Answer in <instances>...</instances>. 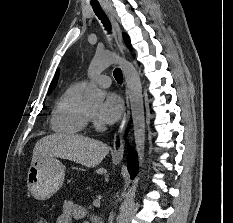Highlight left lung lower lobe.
Here are the masks:
<instances>
[{"label": "left lung lower lobe", "instance_id": "obj_1", "mask_svg": "<svg viewBox=\"0 0 233 223\" xmlns=\"http://www.w3.org/2000/svg\"><path fill=\"white\" fill-rule=\"evenodd\" d=\"M127 167L131 178H134L138 169V161L137 155L133 150L130 151L129 156L127 157Z\"/></svg>", "mask_w": 233, "mask_h": 223}]
</instances>
